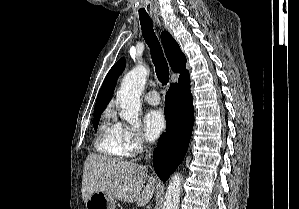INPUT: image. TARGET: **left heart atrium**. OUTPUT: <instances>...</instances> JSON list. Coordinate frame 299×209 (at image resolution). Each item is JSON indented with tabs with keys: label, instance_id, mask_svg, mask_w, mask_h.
I'll use <instances>...</instances> for the list:
<instances>
[{
	"label": "left heart atrium",
	"instance_id": "obj_1",
	"mask_svg": "<svg viewBox=\"0 0 299 209\" xmlns=\"http://www.w3.org/2000/svg\"><path fill=\"white\" fill-rule=\"evenodd\" d=\"M145 134L148 140H156L167 126L164 113L159 109L149 111L144 118Z\"/></svg>",
	"mask_w": 299,
	"mask_h": 209
}]
</instances>
